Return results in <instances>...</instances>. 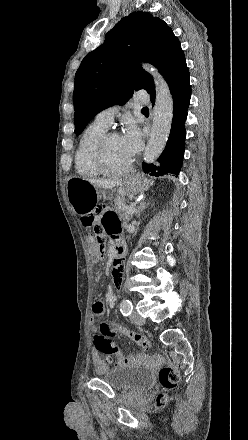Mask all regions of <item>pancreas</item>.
Here are the masks:
<instances>
[{
  "label": "pancreas",
  "mask_w": 248,
  "mask_h": 440,
  "mask_svg": "<svg viewBox=\"0 0 248 440\" xmlns=\"http://www.w3.org/2000/svg\"><path fill=\"white\" fill-rule=\"evenodd\" d=\"M123 202V198L118 196L116 198H114V204L115 207L120 215V217L124 220V221H129L132 218V214L128 213L125 209V207L122 205Z\"/></svg>",
  "instance_id": "cf45deb5"
}]
</instances>
